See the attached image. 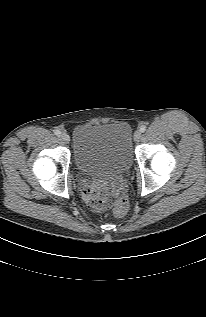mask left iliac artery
Instances as JSON below:
<instances>
[{
  "instance_id": "1",
  "label": "left iliac artery",
  "mask_w": 206,
  "mask_h": 317,
  "mask_svg": "<svg viewBox=\"0 0 206 317\" xmlns=\"http://www.w3.org/2000/svg\"><path fill=\"white\" fill-rule=\"evenodd\" d=\"M140 131H141V132H145V131H146V126H141V127H140Z\"/></svg>"
}]
</instances>
